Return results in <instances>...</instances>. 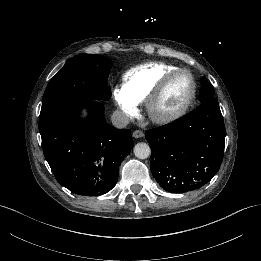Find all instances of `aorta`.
Listing matches in <instances>:
<instances>
[{"label": "aorta", "mask_w": 261, "mask_h": 261, "mask_svg": "<svg viewBox=\"0 0 261 261\" xmlns=\"http://www.w3.org/2000/svg\"><path fill=\"white\" fill-rule=\"evenodd\" d=\"M134 155L139 159H146L151 154V149L147 143L139 142L134 146Z\"/></svg>", "instance_id": "762f6f07"}]
</instances>
